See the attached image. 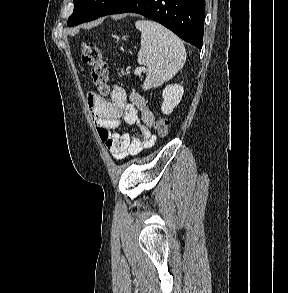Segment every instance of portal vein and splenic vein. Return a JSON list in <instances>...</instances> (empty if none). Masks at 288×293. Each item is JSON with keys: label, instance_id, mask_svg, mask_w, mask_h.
Wrapping results in <instances>:
<instances>
[{"label": "portal vein and splenic vein", "instance_id": "1", "mask_svg": "<svg viewBox=\"0 0 288 293\" xmlns=\"http://www.w3.org/2000/svg\"><path fill=\"white\" fill-rule=\"evenodd\" d=\"M142 71H144L143 68H137V69H136V72H137L138 74H140Z\"/></svg>", "mask_w": 288, "mask_h": 293}]
</instances>
